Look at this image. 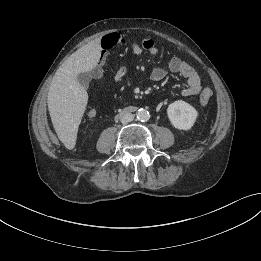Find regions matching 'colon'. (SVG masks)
Returning a JSON list of instances; mask_svg holds the SVG:
<instances>
[{
  "label": "colon",
  "mask_w": 261,
  "mask_h": 261,
  "mask_svg": "<svg viewBox=\"0 0 261 261\" xmlns=\"http://www.w3.org/2000/svg\"><path fill=\"white\" fill-rule=\"evenodd\" d=\"M212 95H213V91L211 88L209 87L204 88L200 94V104L202 106H206L210 101Z\"/></svg>",
  "instance_id": "colon-1"
}]
</instances>
